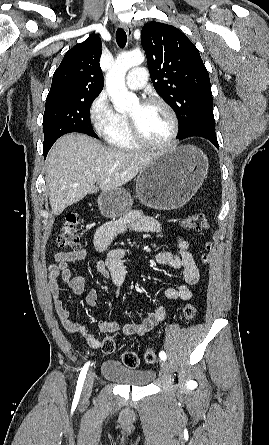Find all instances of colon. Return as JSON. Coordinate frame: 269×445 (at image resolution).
<instances>
[{"label": "colon", "instance_id": "obj_1", "mask_svg": "<svg viewBox=\"0 0 269 445\" xmlns=\"http://www.w3.org/2000/svg\"><path fill=\"white\" fill-rule=\"evenodd\" d=\"M79 224L80 215L78 213L71 212L66 215L57 236V244L60 248L69 252H76L81 249ZM184 227L188 230L200 232L208 230L210 224L206 215L202 213H194L184 220ZM210 248L211 244L205 242L203 245V252L200 255L203 262L207 261ZM196 311V307L193 304H186L183 308V318L186 321L193 320ZM101 349L105 354H113L116 351V342L114 338L111 336L104 337L101 343ZM144 360L148 364L155 363L157 360L156 352L152 349L146 350L144 353ZM122 362L129 368H136L139 364V357L133 351H126L122 356Z\"/></svg>", "mask_w": 269, "mask_h": 445}]
</instances>
